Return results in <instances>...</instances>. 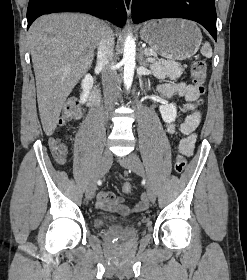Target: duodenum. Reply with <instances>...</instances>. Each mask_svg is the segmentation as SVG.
I'll return each mask as SVG.
<instances>
[{
  "mask_svg": "<svg viewBox=\"0 0 247 280\" xmlns=\"http://www.w3.org/2000/svg\"><path fill=\"white\" fill-rule=\"evenodd\" d=\"M99 103V91L96 86L91 87L87 92V105L95 109Z\"/></svg>",
  "mask_w": 247,
  "mask_h": 280,
  "instance_id": "410a0bca",
  "label": "duodenum"
}]
</instances>
